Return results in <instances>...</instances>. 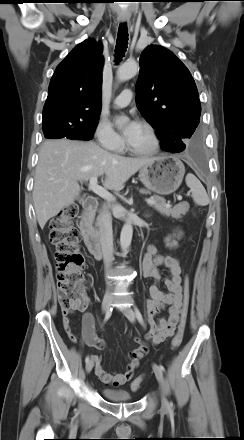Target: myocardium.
Here are the masks:
<instances>
[{
    "mask_svg": "<svg viewBox=\"0 0 244 440\" xmlns=\"http://www.w3.org/2000/svg\"><path fill=\"white\" fill-rule=\"evenodd\" d=\"M149 135L150 139H151V146L147 149H136L134 147H132L129 142L126 143V147L127 150L135 155H140V156H147V155H152L154 153H156L160 146H161V140L159 137V134L157 132V130L155 129V127L153 125H151L148 122H140L139 124Z\"/></svg>",
    "mask_w": 244,
    "mask_h": 440,
    "instance_id": "obj_1",
    "label": "myocardium"
}]
</instances>
